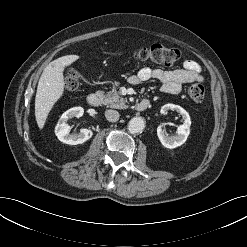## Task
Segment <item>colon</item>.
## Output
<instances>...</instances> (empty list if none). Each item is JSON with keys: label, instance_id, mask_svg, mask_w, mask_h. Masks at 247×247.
Returning <instances> with one entry per match:
<instances>
[{"label": "colon", "instance_id": "5ec220e1", "mask_svg": "<svg viewBox=\"0 0 247 247\" xmlns=\"http://www.w3.org/2000/svg\"><path fill=\"white\" fill-rule=\"evenodd\" d=\"M178 49L163 44H152L134 51V58L139 61H150L163 66H172L179 58ZM80 79L78 71H71L65 78V88L68 91L77 89ZM188 95L195 103L203 101L205 89L202 84L195 83L188 87Z\"/></svg>", "mask_w": 247, "mask_h": 247}]
</instances>
